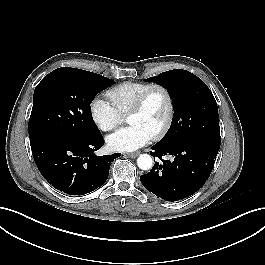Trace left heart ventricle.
Segmentation results:
<instances>
[{"instance_id": "b2bd125f", "label": "left heart ventricle", "mask_w": 265, "mask_h": 265, "mask_svg": "<svg viewBox=\"0 0 265 265\" xmlns=\"http://www.w3.org/2000/svg\"><path fill=\"white\" fill-rule=\"evenodd\" d=\"M167 113V99L161 91H154L144 109L127 117L130 125H139L151 135L160 127Z\"/></svg>"}]
</instances>
